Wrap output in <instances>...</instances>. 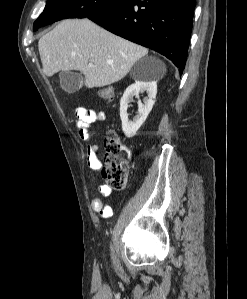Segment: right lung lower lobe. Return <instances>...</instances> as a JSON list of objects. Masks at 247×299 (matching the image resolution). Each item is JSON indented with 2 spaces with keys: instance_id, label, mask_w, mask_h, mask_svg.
<instances>
[{
  "instance_id": "98d812e1",
  "label": "right lung lower lobe",
  "mask_w": 247,
  "mask_h": 299,
  "mask_svg": "<svg viewBox=\"0 0 247 299\" xmlns=\"http://www.w3.org/2000/svg\"><path fill=\"white\" fill-rule=\"evenodd\" d=\"M196 0H126L90 20L185 68Z\"/></svg>"
}]
</instances>
